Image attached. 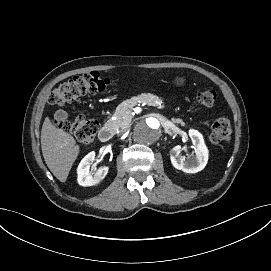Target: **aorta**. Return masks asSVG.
Instances as JSON below:
<instances>
[{"label": "aorta", "mask_w": 271, "mask_h": 271, "mask_svg": "<svg viewBox=\"0 0 271 271\" xmlns=\"http://www.w3.org/2000/svg\"><path fill=\"white\" fill-rule=\"evenodd\" d=\"M161 125L156 118L149 117L140 120L134 127L133 138L134 141L143 144L150 145L155 143L161 136Z\"/></svg>", "instance_id": "aorta-1"}]
</instances>
